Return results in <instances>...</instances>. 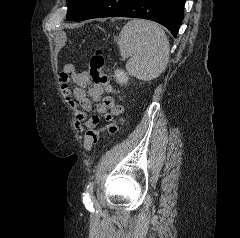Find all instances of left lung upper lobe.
<instances>
[{
  "instance_id": "1",
  "label": "left lung upper lobe",
  "mask_w": 240,
  "mask_h": 238,
  "mask_svg": "<svg viewBox=\"0 0 240 238\" xmlns=\"http://www.w3.org/2000/svg\"><path fill=\"white\" fill-rule=\"evenodd\" d=\"M91 0H68L67 20L71 21L78 17Z\"/></svg>"
}]
</instances>
